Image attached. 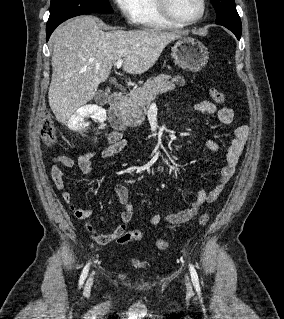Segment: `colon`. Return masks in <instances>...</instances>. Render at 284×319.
<instances>
[{
	"instance_id": "1",
	"label": "colon",
	"mask_w": 284,
	"mask_h": 319,
	"mask_svg": "<svg viewBox=\"0 0 284 319\" xmlns=\"http://www.w3.org/2000/svg\"><path fill=\"white\" fill-rule=\"evenodd\" d=\"M210 97L212 100L218 104H224L226 97L223 92L218 89L211 88L209 90ZM57 137L56 128L54 126L53 120L50 116H46L42 120L41 124V138L47 146H52ZM209 221V215L204 213L199 218V224L205 225ZM143 235L140 231H132L124 233L121 237L117 239L119 244H127L131 241H140ZM156 246L159 250L163 251L168 247V242L164 239L157 241Z\"/></svg>"
}]
</instances>
